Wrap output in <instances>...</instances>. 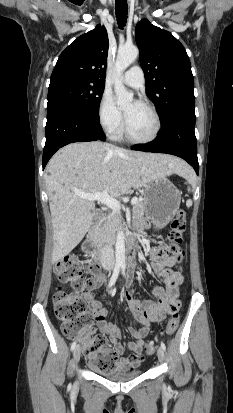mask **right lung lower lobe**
<instances>
[{
    "mask_svg": "<svg viewBox=\"0 0 233 413\" xmlns=\"http://www.w3.org/2000/svg\"><path fill=\"white\" fill-rule=\"evenodd\" d=\"M96 140H105L99 119L91 118L68 107H55L47 110L43 169L59 148L73 142Z\"/></svg>",
    "mask_w": 233,
    "mask_h": 413,
    "instance_id": "98d812e1",
    "label": "right lung lower lobe"
}]
</instances>
